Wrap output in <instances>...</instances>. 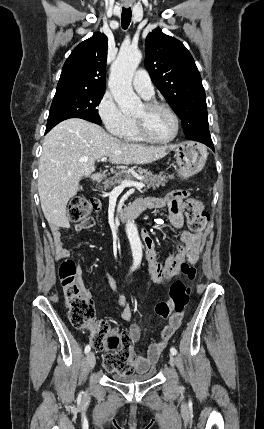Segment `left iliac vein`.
I'll use <instances>...</instances> for the list:
<instances>
[{
	"label": "left iliac vein",
	"instance_id": "left-iliac-vein-1",
	"mask_svg": "<svg viewBox=\"0 0 264 429\" xmlns=\"http://www.w3.org/2000/svg\"><path fill=\"white\" fill-rule=\"evenodd\" d=\"M175 364H176V358L174 357V355H173V354H171V355H170V365H171L172 367H174V366H175Z\"/></svg>",
	"mask_w": 264,
	"mask_h": 429
}]
</instances>
